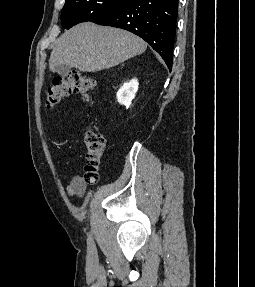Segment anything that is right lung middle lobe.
<instances>
[{
	"instance_id": "dd1d6c3e",
	"label": "right lung middle lobe",
	"mask_w": 255,
	"mask_h": 287,
	"mask_svg": "<svg viewBox=\"0 0 255 287\" xmlns=\"http://www.w3.org/2000/svg\"><path fill=\"white\" fill-rule=\"evenodd\" d=\"M126 0H66L61 12V22L65 29L92 21L103 12L118 6Z\"/></svg>"
}]
</instances>
